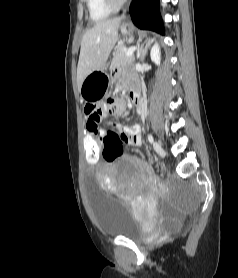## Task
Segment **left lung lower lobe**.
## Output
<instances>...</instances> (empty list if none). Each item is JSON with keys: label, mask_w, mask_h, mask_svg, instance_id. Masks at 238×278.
<instances>
[{"label": "left lung lower lobe", "mask_w": 238, "mask_h": 278, "mask_svg": "<svg viewBox=\"0 0 238 278\" xmlns=\"http://www.w3.org/2000/svg\"><path fill=\"white\" fill-rule=\"evenodd\" d=\"M130 15L137 27L164 34L159 14V0H133L130 6Z\"/></svg>", "instance_id": "obj_1"}]
</instances>
